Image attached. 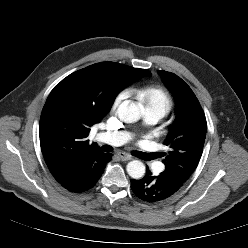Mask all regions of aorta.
I'll return each mask as SVG.
<instances>
[{
	"mask_svg": "<svg viewBox=\"0 0 248 248\" xmlns=\"http://www.w3.org/2000/svg\"><path fill=\"white\" fill-rule=\"evenodd\" d=\"M142 111L138 104L133 101H123L118 109L117 115L125 123H134L141 117ZM127 173L133 179H140L144 176L145 165L139 160L130 161L126 167Z\"/></svg>",
	"mask_w": 248,
	"mask_h": 248,
	"instance_id": "1",
	"label": "aorta"
}]
</instances>
